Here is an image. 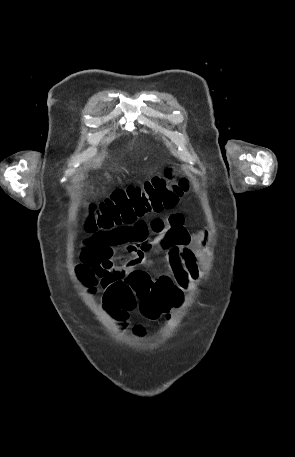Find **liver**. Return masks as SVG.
<instances>
[{"label":"liver","mask_w":295,"mask_h":457,"mask_svg":"<svg viewBox=\"0 0 295 457\" xmlns=\"http://www.w3.org/2000/svg\"><path fill=\"white\" fill-rule=\"evenodd\" d=\"M105 155H102L101 157H99L97 160H96V166L97 167H100L101 166V163L104 159Z\"/></svg>","instance_id":"obj_1"}]
</instances>
